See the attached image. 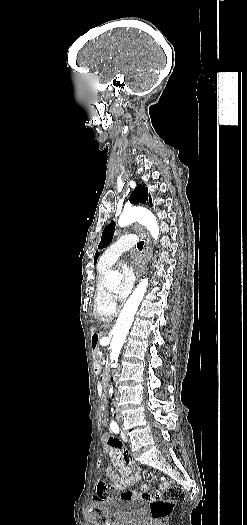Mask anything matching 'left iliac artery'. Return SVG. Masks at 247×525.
Masks as SVG:
<instances>
[{
	"mask_svg": "<svg viewBox=\"0 0 247 525\" xmlns=\"http://www.w3.org/2000/svg\"><path fill=\"white\" fill-rule=\"evenodd\" d=\"M110 428H111V430H112L114 433H116V434L119 433V427H118V424H117L116 422H114V421L111 422V424H110Z\"/></svg>",
	"mask_w": 247,
	"mask_h": 525,
	"instance_id": "44dca946",
	"label": "left iliac artery"
}]
</instances>
